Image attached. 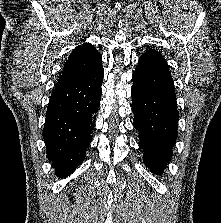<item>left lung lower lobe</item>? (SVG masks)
<instances>
[{"label": "left lung lower lobe", "mask_w": 221, "mask_h": 223, "mask_svg": "<svg viewBox=\"0 0 221 223\" xmlns=\"http://www.w3.org/2000/svg\"><path fill=\"white\" fill-rule=\"evenodd\" d=\"M132 79L134 127L140 134L143 161L160 174L177 139L179 113L172 76L162 54L149 49L139 58Z\"/></svg>", "instance_id": "0a47b994"}]
</instances>
